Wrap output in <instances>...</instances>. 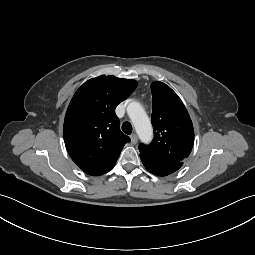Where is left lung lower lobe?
<instances>
[{"label":"left lung lower lobe","instance_id":"0a47b994","mask_svg":"<svg viewBox=\"0 0 255 255\" xmlns=\"http://www.w3.org/2000/svg\"><path fill=\"white\" fill-rule=\"evenodd\" d=\"M142 163L149 172L158 176H167L169 174H172L182 166V165H175L171 167H160V166L153 165L149 162H146L144 160H142Z\"/></svg>","mask_w":255,"mask_h":255}]
</instances>
